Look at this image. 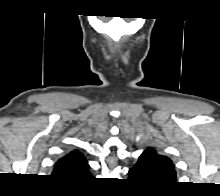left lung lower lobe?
<instances>
[{
    "label": "left lung lower lobe",
    "mask_w": 220,
    "mask_h": 196,
    "mask_svg": "<svg viewBox=\"0 0 220 196\" xmlns=\"http://www.w3.org/2000/svg\"><path fill=\"white\" fill-rule=\"evenodd\" d=\"M130 179L140 181L144 184L158 185L146 166L138 161L136 165L129 170Z\"/></svg>",
    "instance_id": "left-lung-lower-lobe-1"
}]
</instances>
